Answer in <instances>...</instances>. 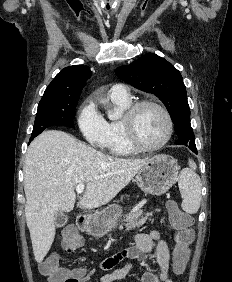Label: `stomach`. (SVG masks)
I'll list each match as a JSON object with an SVG mask.
<instances>
[{
	"label": "stomach",
	"mask_w": 232,
	"mask_h": 282,
	"mask_svg": "<svg viewBox=\"0 0 232 282\" xmlns=\"http://www.w3.org/2000/svg\"><path fill=\"white\" fill-rule=\"evenodd\" d=\"M179 173L177 161L169 155H156L148 159L138 171L136 183L145 193L160 196L166 193L176 182ZM121 207L113 204L87 220L85 230L88 234L100 238L111 231L119 217Z\"/></svg>",
	"instance_id": "obj_1"
}]
</instances>
